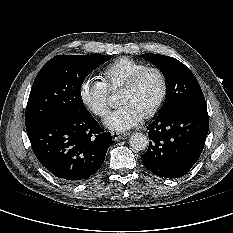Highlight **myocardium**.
<instances>
[{
    "label": "myocardium",
    "instance_id": "f54148a6",
    "mask_svg": "<svg viewBox=\"0 0 233 233\" xmlns=\"http://www.w3.org/2000/svg\"><path fill=\"white\" fill-rule=\"evenodd\" d=\"M148 73H155L159 76L162 84V90L160 93V96L158 100L155 102V104L143 115V118L149 119L155 116L159 110L162 108L164 105L167 96H168V91H169V83H168V78L164 71H162L158 67H146L137 73H135L126 83L125 85L121 88L122 91H131L133 90L140 80Z\"/></svg>",
    "mask_w": 233,
    "mask_h": 233
}]
</instances>
